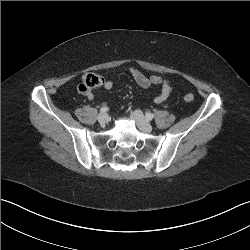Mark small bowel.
<instances>
[{
  "label": "small bowel",
  "mask_w": 250,
  "mask_h": 250,
  "mask_svg": "<svg viewBox=\"0 0 250 250\" xmlns=\"http://www.w3.org/2000/svg\"><path fill=\"white\" fill-rule=\"evenodd\" d=\"M129 72H130L132 78L134 79V81L142 88H148V87L153 86V85L160 86V91L158 92V94L154 98L155 103H157V104L163 103L171 95L172 86H171L168 79H165V78H162V77L156 76V75L147 76L144 73H142L141 71L134 69V68H130ZM102 86L106 90H110L114 86V80H112V79L105 80V81H103ZM84 94L86 95V97L89 100H93L94 93L92 90L88 91Z\"/></svg>",
  "instance_id": "c3829d8e"
}]
</instances>
